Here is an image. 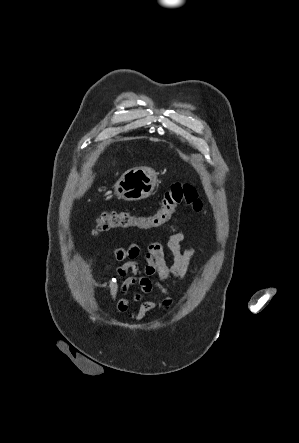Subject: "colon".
<instances>
[{"instance_id": "colon-1", "label": "colon", "mask_w": 299, "mask_h": 443, "mask_svg": "<svg viewBox=\"0 0 299 443\" xmlns=\"http://www.w3.org/2000/svg\"><path fill=\"white\" fill-rule=\"evenodd\" d=\"M183 204L191 207L195 212H200L203 208L202 201L193 185L175 182L164 193L159 208L153 214L138 216L129 211H107L96 220L93 234L97 235L117 228H158L167 224L177 208Z\"/></svg>"}]
</instances>
